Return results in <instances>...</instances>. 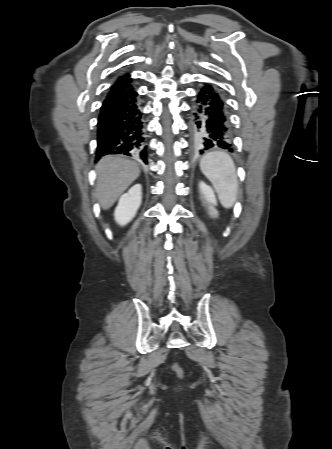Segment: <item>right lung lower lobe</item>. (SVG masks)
<instances>
[{
	"instance_id": "right-lung-lower-lobe-1",
	"label": "right lung lower lobe",
	"mask_w": 332,
	"mask_h": 449,
	"mask_svg": "<svg viewBox=\"0 0 332 449\" xmlns=\"http://www.w3.org/2000/svg\"><path fill=\"white\" fill-rule=\"evenodd\" d=\"M132 89L108 94L98 118L96 160L110 154L140 157L147 163L143 113Z\"/></svg>"
}]
</instances>
